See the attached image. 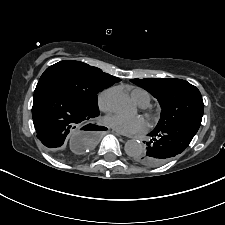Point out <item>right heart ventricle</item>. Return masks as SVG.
Returning a JSON list of instances; mask_svg holds the SVG:
<instances>
[{
    "mask_svg": "<svg viewBox=\"0 0 225 225\" xmlns=\"http://www.w3.org/2000/svg\"><path fill=\"white\" fill-rule=\"evenodd\" d=\"M131 97L134 101L142 107H146L150 104L151 96L150 94L141 88H135L131 91Z\"/></svg>",
    "mask_w": 225,
    "mask_h": 225,
    "instance_id": "right-heart-ventricle-1",
    "label": "right heart ventricle"
}]
</instances>
